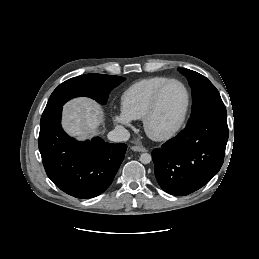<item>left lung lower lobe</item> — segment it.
Listing matches in <instances>:
<instances>
[{
	"label": "left lung lower lobe",
	"mask_w": 259,
	"mask_h": 259,
	"mask_svg": "<svg viewBox=\"0 0 259 259\" xmlns=\"http://www.w3.org/2000/svg\"><path fill=\"white\" fill-rule=\"evenodd\" d=\"M227 140V115H209L188 123L175 138L152 151L160 187L178 196L203 187L220 170Z\"/></svg>",
	"instance_id": "0a47b994"
}]
</instances>
